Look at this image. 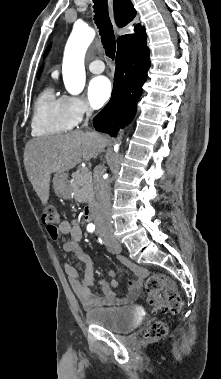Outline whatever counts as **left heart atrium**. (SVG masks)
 <instances>
[{
  "mask_svg": "<svg viewBox=\"0 0 221 379\" xmlns=\"http://www.w3.org/2000/svg\"><path fill=\"white\" fill-rule=\"evenodd\" d=\"M112 95V84L105 76L93 78L88 86V99L94 108L102 107Z\"/></svg>",
  "mask_w": 221,
  "mask_h": 379,
  "instance_id": "left-heart-atrium-1",
  "label": "left heart atrium"
}]
</instances>
